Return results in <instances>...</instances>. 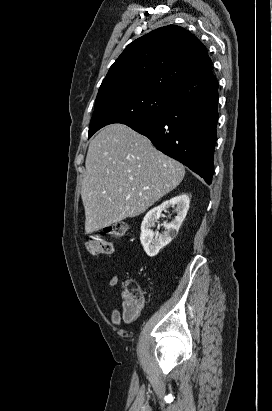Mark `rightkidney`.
I'll return each mask as SVG.
<instances>
[{
    "mask_svg": "<svg viewBox=\"0 0 272 411\" xmlns=\"http://www.w3.org/2000/svg\"><path fill=\"white\" fill-rule=\"evenodd\" d=\"M189 204V196L187 194H180L151 209L145 215L141 224L140 241L148 256H156L160 249L168 245L176 237L186 217ZM169 207H175L177 216L171 223H164L166 230L161 235L158 233L154 234L151 228L154 227L155 222L160 218L162 211Z\"/></svg>",
    "mask_w": 272,
    "mask_h": 411,
    "instance_id": "right-kidney-1",
    "label": "right kidney"
}]
</instances>
